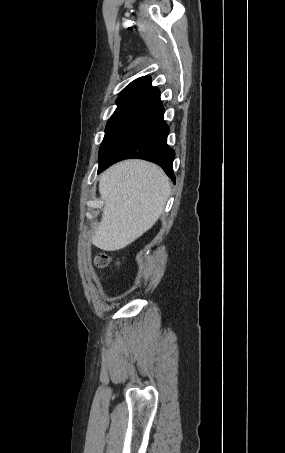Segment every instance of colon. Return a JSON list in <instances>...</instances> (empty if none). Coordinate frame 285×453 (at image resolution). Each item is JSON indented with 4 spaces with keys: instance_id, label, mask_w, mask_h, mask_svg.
Listing matches in <instances>:
<instances>
[{
    "instance_id": "colon-1",
    "label": "colon",
    "mask_w": 285,
    "mask_h": 453,
    "mask_svg": "<svg viewBox=\"0 0 285 453\" xmlns=\"http://www.w3.org/2000/svg\"><path fill=\"white\" fill-rule=\"evenodd\" d=\"M95 262L98 267H106L112 262V258L107 253H100L96 256Z\"/></svg>"
}]
</instances>
